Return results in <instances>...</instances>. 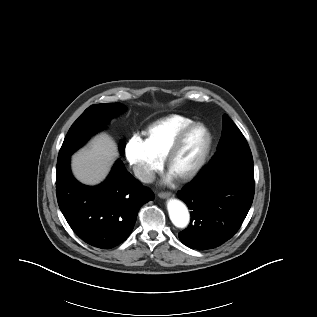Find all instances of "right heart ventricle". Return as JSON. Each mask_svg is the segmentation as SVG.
<instances>
[{
	"mask_svg": "<svg viewBox=\"0 0 317 317\" xmlns=\"http://www.w3.org/2000/svg\"><path fill=\"white\" fill-rule=\"evenodd\" d=\"M192 122V119L185 116H167L145 129L144 141L152 153L163 160L178 133Z\"/></svg>",
	"mask_w": 317,
	"mask_h": 317,
	"instance_id": "right-heart-ventricle-1",
	"label": "right heart ventricle"
}]
</instances>
